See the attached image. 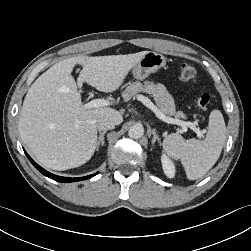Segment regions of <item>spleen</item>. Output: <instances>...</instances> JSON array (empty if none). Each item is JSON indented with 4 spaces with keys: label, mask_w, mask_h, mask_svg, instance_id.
Instances as JSON below:
<instances>
[{
    "label": "spleen",
    "mask_w": 251,
    "mask_h": 251,
    "mask_svg": "<svg viewBox=\"0 0 251 251\" xmlns=\"http://www.w3.org/2000/svg\"><path fill=\"white\" fill-rule=\"evenodd\" d=\"M226 126L220 110L209 116L208 131L204 140H185L177 133L169 134L163 141V150L175 160H180L189 180L204 176L218 160L225 142Z\"/></svg>",
    "instance_id": "spleen-1"
}]
</instances>
